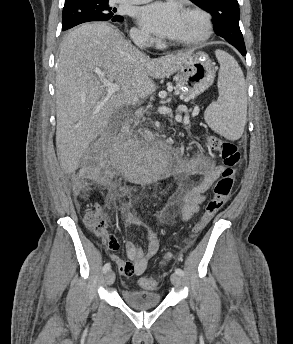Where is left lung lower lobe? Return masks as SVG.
<instances>
[{
  "mask_svg": "<svg viewBox=\"0 0 293 344\" xmlns=\"http://www.w3.org/2000/svg\"><path fill=\"white\" fill-rule=\"evenodd\" d=\"M238 49V51L244 56L246 55V48L245 45H233Z\"/></svg>",
  "mask_w": 293,
  "mask_h": 344,
  "instance_id": "0a47b994",
  "label": "left lung lower lobe"
}]
</instances>
